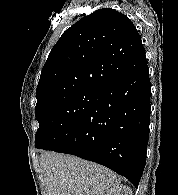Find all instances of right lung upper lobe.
<instances>
[{
    "label": "right lung upper lobe",
    "mask_w": 178,
    "mask_h": 195,
    "mask_svg": "<svg viewBox=\"0 0 178 195\" xmlns=\"http://www.w3.org/2000/svg\"><path fill=\"white\" fill-rule=\"evenodd\" d=\"M147 65L130 19L103 8L67 29L51 50L36 90L37 104L56 95L107 84Z\"/></svg>",
    "instance_id": "obj_1"
}]
</instances>
